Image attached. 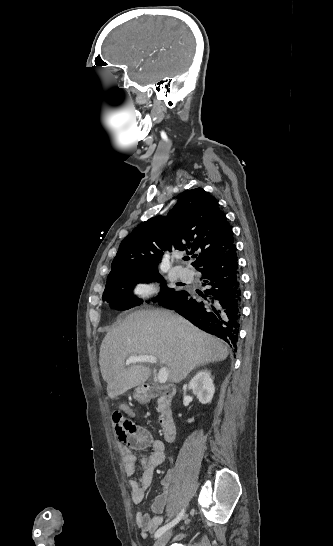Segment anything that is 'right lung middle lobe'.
Returning a JSON list of instances; mask_svg holds the SVG:
<instances>
[{"label": "right lung middle lobe", "mask_w": 333, "mask_h": 546, "mask_svg": "<svg viewBox=\"0 0 333 546\" xmlns=\"http://www.w3.org/2000/svg\"><path fill=\"white\" fill-rule=\"evenodd\" d=\"M149 282L162 283L160 295L153 300L156 302L167 299L178 291L167 288L158 270H111L102 298L110 304L111 308L127 310L142 303L132 294L133 287L137 283Z\"/></svg>", "instance_id": "1"}]
</instances>
